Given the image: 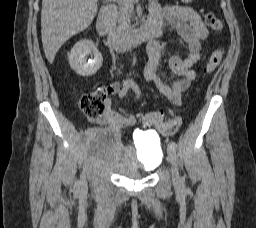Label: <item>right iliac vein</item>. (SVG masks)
I'll return each mask as SVG.
<instances>
[{"label":"right iliac vein","mask_w":256,"mask_h":228,"mask_svg":"<svg viewBox=\"0 0 256 228\" xmlns=\"http://www.w3.org/2000/svg\"><path fill=\"white\" fill-rule=\"evenodd\" d=\"M85 143H86L85 147H89V144L92 143V140H91L90 136L86 137ZM86 151H89V148H86ZM87 180H88V175L86 173H84L81 176V182H80L82 187H84L87 184Z\"/></svg>","instance_id":"right-iliac-vein-1"}]
</instances>
